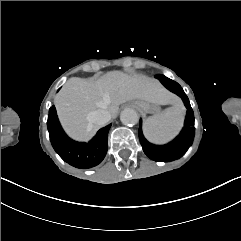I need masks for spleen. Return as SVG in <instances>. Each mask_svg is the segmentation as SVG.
<instances>
[{
  "label": "spleen",
  "instance_id": "3e777b00",
  "mask_svg": "<svg viewBox=\"0 0 241 241\" xmlns=\"http://www.w3.org/2000/svg\"><path fill=\"white\" fill-rule=\"evenodd\" d=\"M183 120V114L179 110L173 107L167 108L144 121V135L152 143L165 144L178 135Z\"/></svg>",
  "mask_w": 241,
  "mask_h": 241
}]
</instances>
